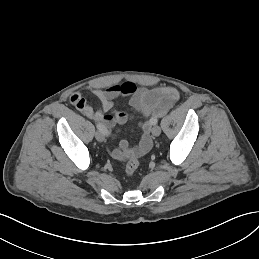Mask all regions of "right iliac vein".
Listing matches in <instances>:
<instances>
[{
  "label": "right iliac vein",
  "instance_id": "63e3f726",
  "mask_svg": "<svg viewBox=\"0 0 259 259\" xmlns=\"http://www.w3.org/2000/svg\"><path fill=\"white\" fill-rule=\"evenodd\" d=\"M95 137H96V140L99 141V142L104 141V134L101 133L100 131H97V132L95 133Z\"/></svg>",
  "mask_w": 259,
  "mask_h": 259
}]
</instances>
